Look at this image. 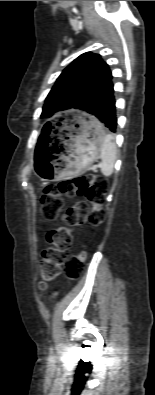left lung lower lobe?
I'll return each mask as SVG.
<instances>
[{"label":"left lung lower lobe","instance_id":"obj_1","mask_svg":"<svg viewBox=\"0 0 155 395\" xmlns=\"http://www.w3.org/2000/svg\"><path fill=\"white\" fill-rule=\"evenodd\" d=\"M112 78L111 74L91 91L82 101L79 109L93 115L105 127L115 132L117 118Z\"/></svg>","mask_w":155,"mask_h":395}]
</instances>
